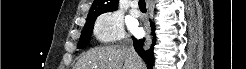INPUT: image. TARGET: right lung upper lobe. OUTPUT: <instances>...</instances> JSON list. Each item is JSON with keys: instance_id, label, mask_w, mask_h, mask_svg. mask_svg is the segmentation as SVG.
I'll return each instance as SVG.
<instances>
[{"instance_id": "cb5924a9", "label": "right lung upper lobe", "mask_w": 246, "mask_h": 69, "mask_svg": "<svg viewBox=\"0 0 246 69\" xmlns=\"http://www.w3.org/2000/svg\"><path fill=\"white\" fill-rule=\"evenodd\" d=\"M117 8L118 0H94L87 21L95 20L100 14L115 11Z\"/></svg>"}]
</instances>
